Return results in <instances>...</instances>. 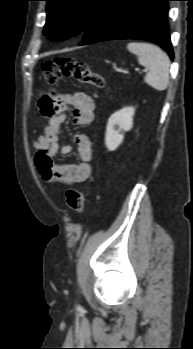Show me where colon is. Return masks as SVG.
<instances>
[{"label": "colon", "mask_w": 193, "mask_h": 349, "mask_svg": "<svg viewBox=\"0 0 193 349\" xmlns=\"http://www.w3.org/2000/svg\"><path fill=\"white\" fill-rule=\"evenodd\" d=\"M44 81L52 86L60 79L73 78L80 83L89 84L95 88H103L105 79L99 72L92 71L86 63L79 62L71 57L61 56L46 61L42 65ZM59 94L54 89H47L39 95V106L45 113H52ZM67 203L76 213H83L85 209V196L77 189L67 191Z\"/></svg>", "instance_id": "1"}]
</instances>
